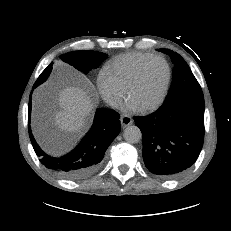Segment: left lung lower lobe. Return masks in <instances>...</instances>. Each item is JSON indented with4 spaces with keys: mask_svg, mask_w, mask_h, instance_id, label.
Returning a JSON list of instances; mask_svg holds the SVG:
<instances>
[{
    "mask_svg": "<svg viewBox=\"0 0 231 231\" xmlns=\"http://www.w3.org/2000/svg\"><path fill=\"white\" fill-rule=\"evenodd\" d=\"M134 121L142 132L147 169L164 178L176 177L194 164L203 146V92L184 93Z\"/></svg>",
    "mask_w": 231,
    "mask_h": 231,
    "instance_id": "obj_1",
    "label": "left lung lower lobe"
}]
</instances>
